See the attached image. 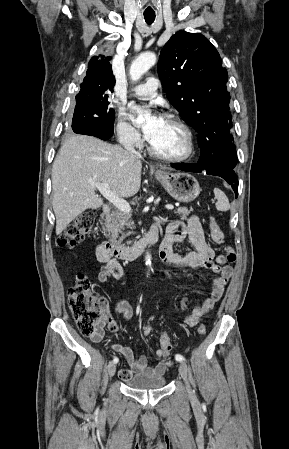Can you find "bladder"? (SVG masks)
<instances>
[{"label": "bladder", "mask_w": 289, "mask_h": 449, "mask_svg": "<svg viewBox=\"0 0 289 449\" xmlns=\"http://www.w3.org/2000/svg\"><path fill=\"white\" fill-rule=\"evenodd\" d=\"M167 379L164 375H151L139 373L125 381V384L137 390L158 389L166 385Z\"/></svg>", "instance_id": "obj_1"}]
</instances>
